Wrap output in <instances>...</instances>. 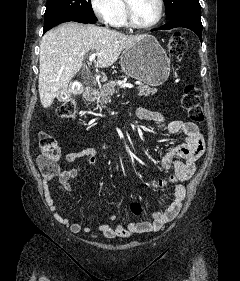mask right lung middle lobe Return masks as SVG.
<instances>
[{
	"label": "right lung middle lobe",
	"instance_id": "dd1d6c3e",
	"mask_svg": "<svg viewBox=\"0 0 240 281\" xmlns=\"http://www.w3.org/2000/svg\"><path fill=\"white\" fill-rule=\"evenodd\" d=\"M44 16L45 32L63 22L96 21L91 0H47Z\"/></svg>",
	"mask_w": 240,
	"mask_h": 281
}]
</instances>
